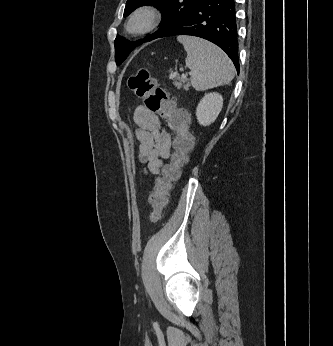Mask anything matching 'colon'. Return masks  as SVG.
Listing matches in <instances>:
<instances>
[{
    "mask_svg": "<svg viewBox=\"0 0 333 346\" xmlns=\"http://www.w3.org/2000/svg\"><path fill=\"white\" fill-rule=\"evenodd\" d=\"M128 86L138 98L143 100L145 108L165 119L176 134L171 160L164 166L161 176L156 179L149 196L150 219L157 221L167 204V195L172 183L179 178L180 169L188 161V154L193 146V135L188 128L187 113L174 106L166 90L157 84L147 69H140L130 76Z\"/></svg>",
    "mask_w": 333,
    "mask_h": 346,
    "instance_id": "obj_1",
    "label": "colon"
}]
</instances>
